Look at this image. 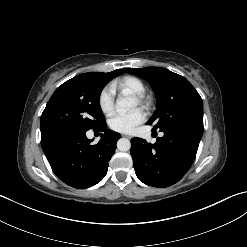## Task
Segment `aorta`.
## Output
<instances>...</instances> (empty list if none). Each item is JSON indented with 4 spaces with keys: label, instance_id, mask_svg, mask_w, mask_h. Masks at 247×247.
I'll return each instance as SVG.
<instances>
[{
    "label": "aorta",
    "instance_id": "762f6f07",
    "mask_svg": "<svg viewBox=\"0 0 247 247\" xmlns=\"http://www.w3.org/2000/svg\"><path fill=\"white\" fill-rule=\"evenodd\" d=\"M136 106V101L130 97H119L116 101L117 111L119 113L128 111ZM117 148L120 151H128L131 148V142L127 138H120L117 141Z\"/></svg>",
    "mask_w": 247,
    "mask_h": 247
}]
</instances>
